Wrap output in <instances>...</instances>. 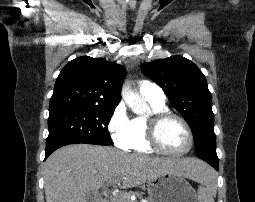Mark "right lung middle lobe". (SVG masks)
Listing matches in <instances>:
<instances>
[{
    "instance_id": "right-lung-middle-lobe-1",
    "label": "right lung middle lobe",
    "mask_w": 255,
    "mask_h": 202,
    "mask_svg": "<svg viewBox=\"0 0 255 202\" xmlns=\"http://www.w3.org/2000/svg\"><path fill=\"white\" fill-rule=\"evenodd\" d=\"M115 108L89 106L50 114L46 149L75 143L109 145L108 124Z\"/></svg>"
}]
</instances>
